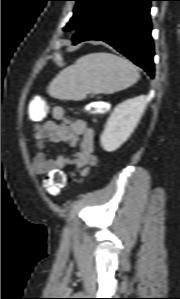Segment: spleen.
Returning a JSON list of instances; mask_svg holds the SVG:
<instances>
[{
    "instance_id": "obj_1",
    "label": "spleen",
    "mask_w": 180,
    "mask_h": 299,
    "mask_svg": "<svg viewBox=\"0 0 180 299\" xmlns=\"http://www.w3.org/2000/svg\"><path fill=\"white\" fill-rule=\"evenodd\" d=\"M140 75L129 60L112 53L84 55L59 72L48 87L51 97L83 100L88 94H112L136 83Z\"/></svg>"
}]
</instances>
